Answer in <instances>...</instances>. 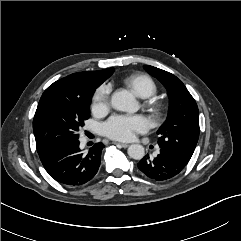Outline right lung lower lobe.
I'll list each match as a JSON object with an SVG mask.
<instances>
[{
    "instance_id": "obj_1",
    "label": "right lung lower lobe",
    "mask_w": 241,
    "mask_h": 241,
    "mask_svg": "<svg viewBox=\"0 0 241 241\" xmlns=\"http://www.w3.org/2000/svg\"><path fill=\"white\" fill-rule=\"evenodd\" d=\"M103 148V144L96 143L84 154L77 139L52 146L38 154L44 168L56 181L80 186L92 180L98 172Z\"/></svg>"
}]
</instances>
